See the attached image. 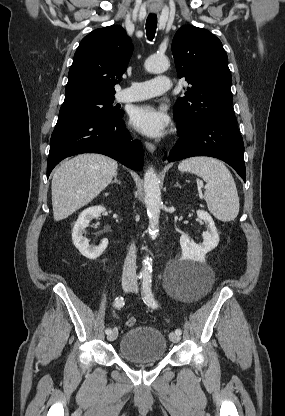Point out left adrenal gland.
<instances>
[{"mask_svg": "<svg viewBox=\"0 0 285 416\" xmlns=\"http://www.w3.org/2000/svg\"><path fill=\"white\" fill-rule=\"evenodd\" d=\"M175 188H181V186H180L179 182H176V184H175Z\"/></svg>", "mask_w": 285, "mask_h": 416, "instance_id": "obj_1", "label": "left adrenal gland"}]
</instances>
